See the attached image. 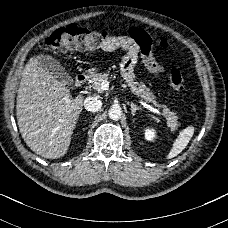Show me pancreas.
I'll return each mask as SVG.
<instances>
[{"label":"pancreas","instance_id":"obj_1","mask_svg":"<svg viewBox=\"0 0 228 228\" xmlns=\"http://www.w3.org/2000/svg\"><path fill=\"white\" fill-rule=\"evenodd\" d=\"M109 74L107 73H93L90 75V79L92 82V88L98 91L99 93L103 92L101 89V82L103 80H108ZM128 86L130 87L131 91L137 95L138 97H141L146 102H151L157 107L163 108V115L167 120V125L171 128V130L177 129L178 126H180L178 122V117L176 116V112L170 111L169 108H167L166 105H160L155 101L156 96L150 91L148 87L142 82H134L130 81L128 82Z\"/></svg>","mask_w":228,"mask_h":228}]
</instances>
